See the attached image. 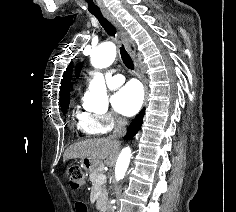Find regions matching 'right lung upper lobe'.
I'll return each instance as SVG.
<instances>
[{
    "mask_svg": "<svg viewBox=\"0 0 236 212\" xmlns=\"http://www.w3.org/2000/svg\"><path fill=\"white\" fill-rule=\"evenodd\" d=\"M72 68L73 64L70 63L69 66L67 67V70L64 72L60 87V102L65 99H70L69 92H70V78H71Z\"/></svg>",
    "mask_w": 236,
    "mask_h": 212,
    "instance_id": "obj_1",
    "label": "right lung upper lobe"
}]
</instances>
